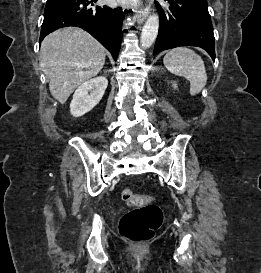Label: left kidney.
I'll list each match as a JSON object with an SVG mask.
<instances>
[{"instance_id": "left-kidney-1", "label": "left kidney", "mask_w": 261, "mask_h": 273, "mask_svg": "<svg viewBox=\"0 0 261 273\" xmlns=\"http://www.w3.org/2000/svg\"><path fill=\"white\" fill-rule=\"evenodd\" d=\"M173 87H174V88H177V85H176V83H175V84H173Z\"/></svg>"}]
</instances>
